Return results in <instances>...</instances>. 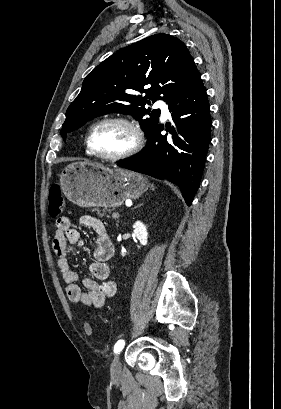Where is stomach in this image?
<instances>
[{
    "mask_svg": "<svg viewBox=\"0 0 281 409\" xmlns=\"http://www.w3.org/2000/svg\"><path fill=\"white\" fill-rule=\"evenodd\" d=\"M62 192L78 207H120L125 198H138L148 188L142 174L126 168H106L101 162L77 160L63 168Z\"/></svg>",
    "mask_w": 281,
    "mask_h": 409,
    "instance_id": "obj_1",
    "label": "stomach"
}]
</instances>
